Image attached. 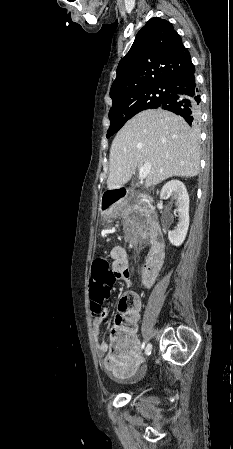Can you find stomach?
<instances>
[{
  "mask_svg": "<svg viewBox=\"0 0 233 449\" xmlns=\"http://www.w3.org/2000/svg\"><path fill=\"white\" fill-rule=\"evenodd\" d=\"M120 211L121 207L119 206V204H116L115 206H107L106 208H104L103 206L101 207V213L106 218L116 217L120 213Z\"/></svg>",
  "mask_w": 233,
  "mask_h": 449,
  "instance_id": "stomach-1",
  "label": "stomach"
}]
</instances>
